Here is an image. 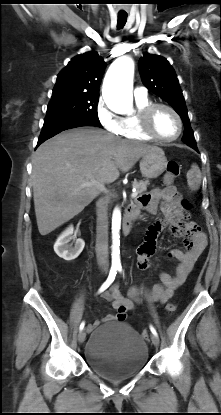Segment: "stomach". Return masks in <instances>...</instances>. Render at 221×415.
Here are the masks:
<instances>
[{"instance_id": "1", "label": "stomach", "mask_w": 221, "mask_h": 415, "mask_svg": "<svg viewBox=\"0 0 221 415\" xmlns=\"http://www.w3.org/2000/svg\"><path fill=\"white\" fill-rule=\"evenodd\" d=\"M167 167V159L162 149L150 151L141 158L140 171L143 177L154 179L159 177Z\"/></svg>"}]
</instances>
